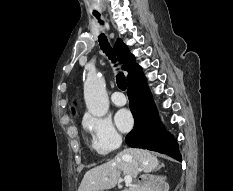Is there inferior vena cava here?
I'll use <instances>...</instances> for the list:
<instances>
[{"label":"inferior vena cava","mask_w":233,"mask_h":191,"mask_svg":"<svg viewBox=\"0 0 233 191\" xmlns=\"http://www.w3.org/2000/svg\"><path fill=\"white\" fill-rule=\"evenodd\" d=\"M120 144H121V142L117 145V147H119ZM132 164H133L135 167L137 166V163H136L134 160L132 161Z\"/></svg>","instance_id":"1"}]
</instances>
